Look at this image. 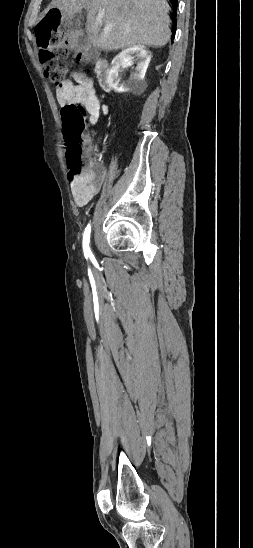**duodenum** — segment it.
I'll return each mask as SVG.
<instances>
[{
    "instance_id": "410a0bca",
    "label": "duodenum",
    "mask_w": 253,
    "mask_h": 548,
    "mask_svg": "<svg viewBox=\"0 0 253 548\" xmlns=\"http://www.w3.org/2000/svg\"><path fill=\"white\" fill-rule=\"evenodd\" d=\"M97 80L105 90L110 89V68L105 60H99L96 64Z\"/></svg>"
}]
</instances>
